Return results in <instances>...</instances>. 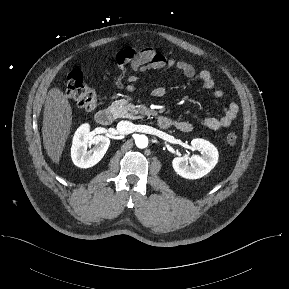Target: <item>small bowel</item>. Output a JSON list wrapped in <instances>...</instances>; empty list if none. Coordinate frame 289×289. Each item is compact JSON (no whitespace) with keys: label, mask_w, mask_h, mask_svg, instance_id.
<instances>
[{"label":"small bowel","mask_w":289,"mask_h":289,"mask_svg":"<svg viewBox=\"0 0 289 289\" xmlns=\"http://www.w3.org/2000/svg\"><path fill=\"white\" fill-rule=\"evenodd\" d=\"M115 62L119 69V73L114 79L115 86L119 90L124 88L129 91H135L134 83L137 81V76H127L128 67H131L136 72H146L150 70L170 69L175 68L187 78H198L203 87L210 91L211 96L215 99L223 97L224 92L217 89L215 81L210 71L201 70L197 72L195 67L185 61L169 59L164 54L158 53L154 48L147 47L143 49L127 48L119 51L115 56ZM111 71L104 75V79H109ZM127 80L128 84L125 86L124 81ZM166 94L164 87H156L152 90L154 97L160 98ZM239 113V105L235 102L229 104L228 108L220 117H208L202 120L201 124L212 131H218L222 128H227L231 125ZM174 127L183 132H189L193 126L191 123L183 120H174Z\"/></svg>","instance_id":"c3829d8e"}]
</instances>
